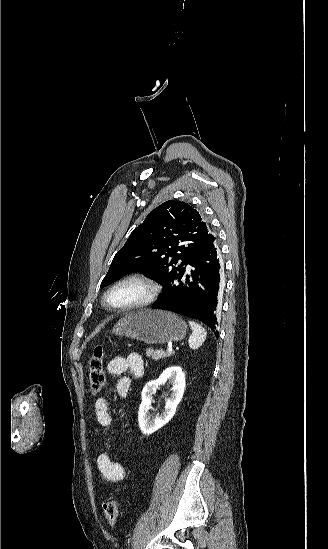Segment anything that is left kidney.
Returning <instances> with one entry per match:
<instances>
[{"instance_id": "left-kidney-1", "label": "left kidney", "mask_w": 328, "mask_h": 549, "mask_svg": "<svg viewBox=\"0 0 328 549\" xmlns=\"http://www.w3.org/2000/svg\"><path fill=\"white\" fill-rule=\"evenodd\" d=\"M169 383L173 385L169 399L165 401V407L160 417H151L149 411L151 409L152 395H155L156 389L159 385ZM185 391V373H183L181 367H168L160 375L156 381H149L146 383L142 393V403L138 411V423L143 435H151L154 431L161 429L163 425H166L173 415L176 413L177 405L182 401V397Z\"/></svg>"}]
</instances>
